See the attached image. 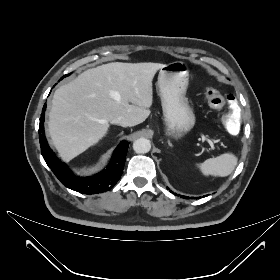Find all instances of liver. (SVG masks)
I'll list each match as a JSON object with an SVG mask.
<instances>
[{"mask_svg":"<svg viewBox=\"0 0 280 280\" xmlns=\"http://www.w3.org/2000/svg\"><path fill=\"white\" fill-rule=\"evenodd\" d=\"M160 63L112 62L88 69L59 87L48 130L60 156L69 161L97 144L120 116L130 126L144 122L153 102L152 81Z\"/></svg>","mask_w":280,"mask_h":280,"instance_id":"6515ba94","label":"liver"}]
</instances>
